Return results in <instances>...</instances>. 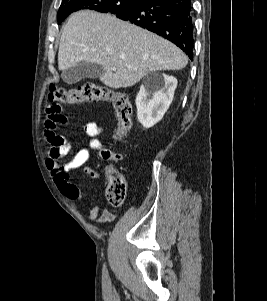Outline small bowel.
<instances>
[{
    "label": "small bowel",
    "instance_id": "1",
    "mask_svg": "<svg viewBox=\"0 0 267 301\" xmlns=\"http://www.w3.org/2000/svg\"><path fill=\"white\" fill-rule=\"evenodd\" d=\"M46 119L44 123V135L49 144L48 158L46 165L51 172L54 182L59 191L65 196L73 207L75 202L82 199V192L79 187L70 180V172L82 169L83 173L92 179H100L101 174L86 166L92 150H99L103 143L98 138L105 129L95 122H88L83 126L85 134L89 137L87 145L78 150L68 161L63 159L71 150L66 139L57 133V127L66 123L67 119L62 112L61 106L50 100L45 107ZM87 218L97 224L112 222L115 219L114 213L107 209H101L95 205L87 214Z\"/></svg>",
    "mask_w": 267,
    "mask_h": 301
}]
</instances>
